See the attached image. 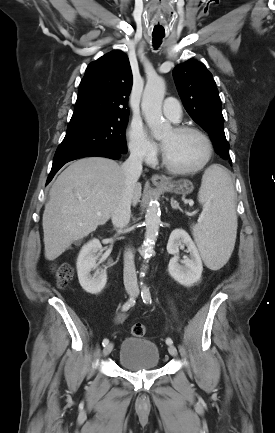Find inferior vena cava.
Wrapping results in <instances>:
<instances>
[{"label": "inferior vena cava", "mask_w": 275, "mask_h": 433, "mask_svg": "<svg viewBox=\"0 0 275 433\" xmlns=\"http://www.w3.org/2000/svg\"><path fill=\"white\" fill-rule=\"evenodd\" d=\"M142 154L131 151L129 158L123 163L122 171L125 177V185L121 197L114 207L111 219L116 228H125L131 216V202L134 187L142 173ZM124 286L126 291H138L137 276L134 264V255L131 250L124 254Z\"/></svg>", "instance_id": "inferior-vena-cava-1"}]
</instances>
